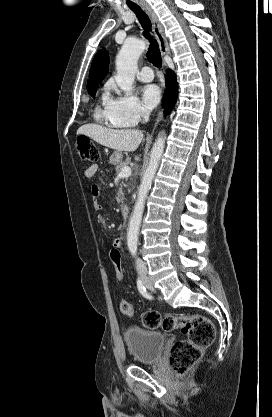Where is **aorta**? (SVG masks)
Returning a JSON list of instances; mask_svg holds the SVG:
<instances>
[{
	"label": "aorta",
	"instance_id": "aorta-1",
	"mask_svg": "<svg viewBox=\"0 0 272 417\" xmlns=\"http://www.w3.org/2000/svg\"><path fill=\"white\" fill-rule=\"evenodd\" d=\"M145 48L146 43L143 40L127 39L116 57V83L125 92L133 90L135 73L137 71V61ZM164 146L165 133L161 132L152 147L149 164L139 186L138 197L129 222L127 246L132 256H136L137 254L138 234L144 211L145 200L162 158Z\"/></svg>",
	"mask_w": 272,
	"mask_h": 417
}]
</instances>
